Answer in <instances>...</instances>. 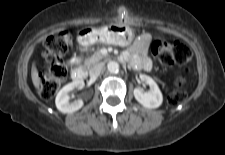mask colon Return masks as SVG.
<instances>
[{"instance_id": "obj_1", "label": "colon", "mask_w": 225, "mask_h": 155, "mask_svg": "<svg viewBox=\"0 0 225 155\" xmlns=\"http://www.w3.org/2000/svg\"><path fill=\"white\" fill-rule=\"evenodd\" d=\"M72 37L67 31L48 36L44 42V58L48 65L40 73L39 94L43 99H51L61 83L67 78L68 70L61 58L68 52ZM152 54L164 65H186L192 58V52L187 44L181 41L158 39L151 43ZM185 76H179L175 88L167 96L170 105L180 103L185 97Z\"/></svg>"}]
</instances>
